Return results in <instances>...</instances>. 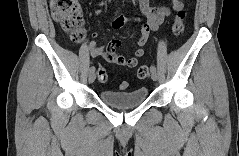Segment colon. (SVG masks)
Returning a JSON list of instances; mask_svg holds the SVG:
<instances>
[{
	"instance_id": "1",
	"label": "colon",
	"mask_w": 239,
	"mask_h": 156,
	"mask_svg": "<svg viewBox=\"0 0 239 156\" xmlns=\"http://www.w3.org/2000/svg\"><path fill=\"white\" fill-rule=\"evenodd\" d=\"M51 11L53 18L59 24L61 30L69 37L70 41L78 43L84 38V20L81 5L76 0H53L51 2ZM185 11L183 9L177 10L173 32L175 35H181L184 31ZM149 75L147 66L142 65L137 70V76L140 79H145ZM107 70L104 67L98 69V79L101 82L107 80ZM128 87L126 81L119 84L121 90Z\"/></svg>"
}]
</instances>
